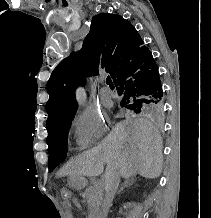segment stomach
Segmentation results:
<instances>
[{"mask_svg":"<svg viewBox=\"0 0 211 218\" xmlns=\"http://www.w3.org/2000/svg\"><path fill=\"white\" fill-rule=\"evenodd\" d=\"M69 184L75 189H82L86 185V179L83 175L74 173L69 177Z\"/></svg>","mask_w":211,"mask_h":218,"instance_id":"0dacf381","label":"stomach"}]
</instances>
